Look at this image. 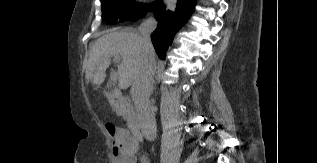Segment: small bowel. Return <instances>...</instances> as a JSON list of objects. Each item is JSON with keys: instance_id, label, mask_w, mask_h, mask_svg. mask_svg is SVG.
<instances>
[{"instance_id": "obj_1", "label": "small bowel", "mask_w": 317, "mask_h": 163, "mask_svg": "<svg viewBox=\"0 0 317 163\" xmlns=\"http://www.w3.org/2000/svg\"><path fill=\"white\" fill-rule=\"evenodd\" d=\"M117 141L120 142V163H137L140 158L138 146L125 130L118 132ZM141 163H149L145 158H141Z\"/></svg>"}]
</instances>
